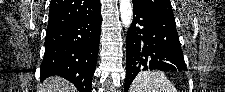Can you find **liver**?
Returning a JSON list of instances; mask_svg holds the SVG:
<instances>
[{"mask_svg":"<svg viewBox=\"0 0 225 92\" xmlns=\"http://www.w3.org/2000/svg\"><path fill=\"white\" fill-rule=\"evenodd\" d=\"M40 92H75V87L58 76L48 77L41 85Z\"/></svg>","mask_w":225,"mask_h":92,"instance_id":"liver-1","label":"liver"}]
</instances>
